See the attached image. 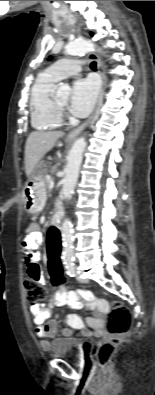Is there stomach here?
Returning <instances> with one entry per match:
<instances>
[{"label":"stomach","instance_id":"1","mask_svg":"<svg viewBox=\"0 0 155 395\" xmlns=\"http://www.w3.org/2000/svg\"><path fill=\"white\" fill-rule=\"evenodd\" d=\"M23 197L27 212L37 214L44 208L47 198L46 187L42 172L38 168L29 177L23 190Z\"/></svg>","mask_w":155,"mask_h":395}]
</instances>
